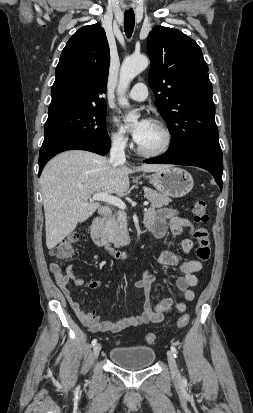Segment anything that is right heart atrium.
<instances>
[{"instance_id":"right-heart-atrium-1","label":"right heart atrium","mask_w":253,"mask_h":413,"mask_svg":"<svg viewBox=\"0 0 253 413\" xmlns=\"http://www.w3.org/2000/svg\"><path fill=\"white\" fill-rule=\"evenodd\" d=\"M110 140L113 146L117 148H124L128 144V138L125 132L121 129H115L110 134Z\"/></svg>"}]
</instances>
